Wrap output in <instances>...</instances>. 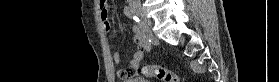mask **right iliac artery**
<instances>
[{"label":"right iliac artery","instance_id":"right-iliac-artery-1","mask_svg":"<svg viewBox=\"0 0 279 82\" xmlns=\"http://www.w3.org/2000/svg\"><path fill=\"white\" fill-rule=\"evenodd\" d=\"M124 13L128 18L133 19L134 21H136L138 23V25L140 26L141 30H142L143 36L148 37V35H149L148 28L146 27L144 22H140V19L138 18V16L135 14V12L129 6H125ZM150 49H151V41L147 40L146 51L149 52Z\"/></svg>","mask_w":279,"mask_h":82}]
</instances>
